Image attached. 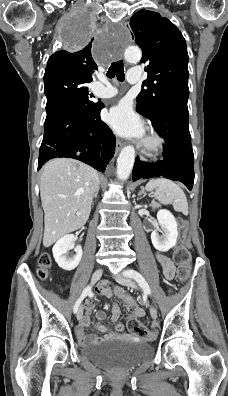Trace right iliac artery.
<instances>
[{
    "mask_svg": "<svg viewBox=\"0 0 228 396\" xmlns=\"http://www.w3.org/2000/svg\"><path fill=\"white\" fill-rule=\"evenodd\" d=\"M90 292H91V286H87V287L83 290L81 296L78 298V300L76 301V303H75V305H74V307H73V312H74V313H77L78 308H79L81 302L83 301V299H84Z\"/></svg>",
    "mask_w": 228,
    "mask_h": 396,
    "instance_id": "obj_1",
    "label": "right iliac artery"
}]
</instances>
